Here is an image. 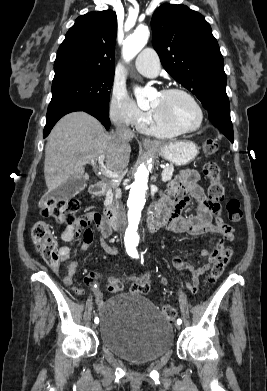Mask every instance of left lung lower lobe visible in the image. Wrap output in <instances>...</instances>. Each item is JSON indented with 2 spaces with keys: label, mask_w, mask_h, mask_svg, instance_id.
Masks as SVG:
<instances>
[{
  "label": "left lung lower lobe",
  "mask_w": 267,
  "mask_h": 391,
  "mask_svg": "<svg viewBox=\"0 0 267 391\" xmlns=\"http://www.w3.org/2000/svg\"><path fill=\"white\" fill-rule=\"evenodd\" d=\"M209 120L233 143V126L229 106H218L208 110Z\"/></svg>",
  "instance_id": "obj_1"
}]
</instances>
